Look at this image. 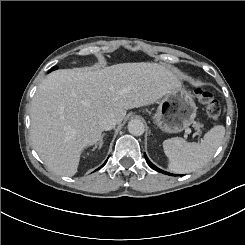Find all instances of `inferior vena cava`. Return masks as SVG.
<instances>
[{"label": "inferior vena cava", "instance_id": "1", "mask_svg": "<svg viewBox=\"0 0 245 245\" xmlns=\"http://www.w3.org/2000/svg\"><path fill=\"white\" fill-rule=\"evenodd\" d=\"M98 123L102 130H110L115 127L116 120L111 114H103L100 116Z\"/></svg>", "mask_w": 245, "mask_h": 245}]
</instances>
